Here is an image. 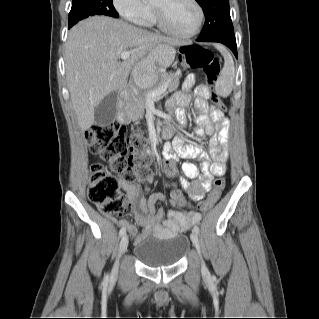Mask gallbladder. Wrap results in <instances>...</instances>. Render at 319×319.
Masks as SVG:
<instances>
[{"label": "gallbladder", "mask_w": 319, "mask_h": 319, "mask_svg": "<svg viewBox=\"0 0 319 319\" xmlns=\"http://www.w3.org/2000/svg\"><path fill=\"white\" fill-rule=\"evenodd\" d=\"M118 93L111 92L96 107L94 122L96 125H106L113 122L117 115Z\"/></svg>", "instance_id": "1"}]
</instances>
